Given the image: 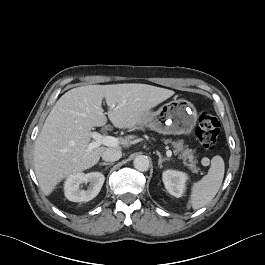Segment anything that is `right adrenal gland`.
Returning <instances> with one entry per match:
<instances>
[{"instance_id": "right-adrenal-gland-1", "label": "right adrenal gland", "mask_w": 265, "mask_h": 265, "mask_svg": "<svg viewBox=\"0 0 265 265\" xmlns=\"http://www.w3.org/2000/svg\"><path fill=\"white\" fill-rule=\"evenodd\" d=\"M100 165H107V166H111V165H113V163H108V162H102V163H100Z\"/></svg>"}]
</instances>
